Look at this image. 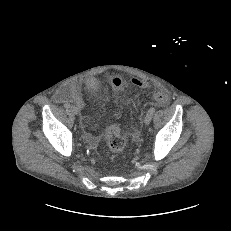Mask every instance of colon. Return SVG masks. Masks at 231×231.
Here are the masks:
<instances>
[{
  "label": "colon",
  "mask_w": 231,
  "mask_h": 231,
  "mask_svg": "<svg viewBox=\"0 0 231 231\" xmlns=\"http://www.w3.org/2000/svg\"><path fill=\"white\" fill-rule=\"evenodd\" d=\"M112 87L116 91H120L123 86V78L120 75H113L110 79ZM132 83L137 87H145V83L139 79H132ZM154 99L161 105L167 102V95L164 92H156ZM107 144L109 150L114 154H119L124 151L126 147V138L122 134L120 126L111 122L106 128Z\"/></svg>",
  "instance_id": "5ec220e1"
}]
</instances>
